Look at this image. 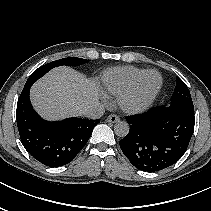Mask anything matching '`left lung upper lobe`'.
I'll return each instance as SVG.
<instances>
[{"label": "left lung upper lobe", "instance_id": "obj_1", "mask_svg": "<svg viewBox=\"0 0 211 211\" xmlns=\"http://www.w3.org/2000/svg\"><path fill=\"white\" fill-rule=\"evenodd\" d=\"M168 108H182L194 112L189 89L179 77H177L176 87L171 97V104Z\"/></svg>", "mask_w": 211, "mask_h": 211}]
</instances>
